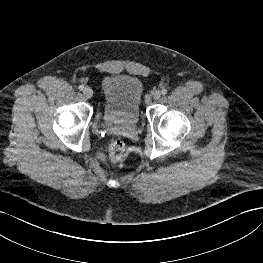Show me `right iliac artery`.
<instances>
[{
    "label": "right iliac artery",
    "mask_w": 263,
    "mask_h": 263,
    "mask_svg": "<svg viewBox=\"0 0 263 263\" xmlns=\"http://www.w3.org/2000/svg\"><path fill=\"white\" fill-rule=\"evenodd\" d=\"M78 88H79V90H81V91H82V90L84 89V86H83V85H79V87H78Z\"/></svg>",
    "instance_id": "82829eb1"
}]
</instances>
